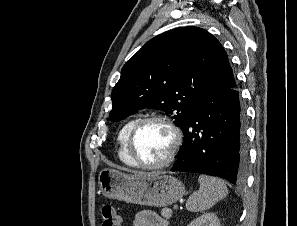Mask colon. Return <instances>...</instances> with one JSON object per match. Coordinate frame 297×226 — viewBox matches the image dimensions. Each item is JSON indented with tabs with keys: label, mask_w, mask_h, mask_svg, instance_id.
<instances>
[{
	"label": "colon",
	"mask_w": 297,
	"mask_h": 226,
	"mask_svg": "<svg viewBox=\"0 0 297 226\" xmlns=\"http://www.w3.org/2000/svg\"><path fill=\"white\" fill-rule=\"evenodd\" d=\"M101 226H121V220L112 205H104L101 210Z\"/></svg>",
	"instance_id": "5ec220e1"
}]
</instances>
